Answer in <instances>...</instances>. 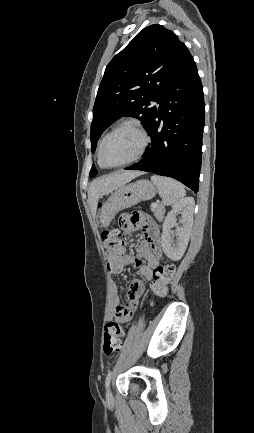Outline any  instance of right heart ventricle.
<instances>
[{
	"mask_svg": "<svg viewBox=\"0 0 254 433\" xmlns=\"http://www.w3.org/2000/svg\"><path fill=\"white\" fill-rule=\"evenodd\" d=\"M100 144H101V142H100ZM100 144H99V146H100ZM98 163H99V161H98ZM99 165H100V167L105 168V167H103L100 163H99Z\"/></svg>",
	"mask_w": 254,
	"mask_h": 433,
	"instance_id": "1",
	"label": "right heart ventricle"
}]
</instances>
